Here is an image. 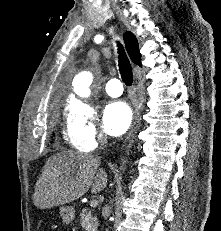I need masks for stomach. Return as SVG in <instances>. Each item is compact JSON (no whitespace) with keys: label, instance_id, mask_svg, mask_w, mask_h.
I'll return each mask as SVG.
<instances>
[{"label":"stomach","instance_id":"1","mask_svg":"<svg viewBox=\"0 0 221 231\" xmlns=\"http://www.w3.org/2000/svg\"><path fill=\"white\" fill-rule=\"evenodd\" d=\"M60 216L66 224L71 223L75 218V209L72 206H61Z\"/></svg>","mask_w":221,"mask_h":231}]
</instances>
